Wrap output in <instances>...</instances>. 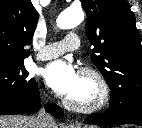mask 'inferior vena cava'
<instances>
[{"mask_svg": "<svg viewBox=\"0 0 142 128\" xmlns=\"http://www.w3.org/2000/svg\"><path fill=\"white\" fill-rule=\"evenodd\" d=\"M36 128H56V123L51 115L41 108L35 117Z\"/></svg>", "mask_w": 142, "mask_h": 128, "instance_id": "602c4592", "label": "inferior vena cava"}]
</instances>
